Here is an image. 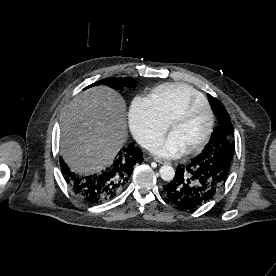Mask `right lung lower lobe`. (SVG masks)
I'll return each instance as SVG.
<instances>
[{
	"instance_id": "right-lung-lower-lobe-1",
	"label": "right lung lower lobe",
	"mask_w": 276,
	"mask_h": 276,
	"mask_svg": "<svg viewBox=\"0 0 276 276\" xmlns=\"http://www.w3.org/2000/svg\"><path fill=\"white\" fill-rule=\"evenodd\" d=\"M142 161L141 149L130 145L124 147L114 162L98 174L87 176L75 174L62 159L60 165L64 178L73 192L89 203L99 204L118 194L129 182L134 166Z\"/></svg>"
}]
</instances>
